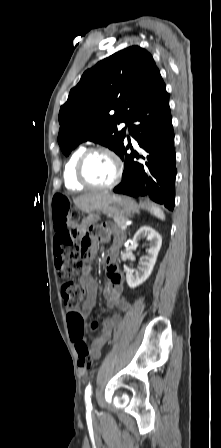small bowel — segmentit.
<instances>
[{
	"label": "small bowel",
	"instance_id": "obj_1",
	"mask_svg": "<svg viewBox=\"0 0 221 448\" xmlns=\"http://www.w3.org/2000/svg\"><path fill=\"white\" fill-rule=\"evenodd\" d=\"M93 221H95V219L93 218L88 219L81 225L77 226L76 230L81 235L85 234L87 231L88 233L87 236L90 239L89 245L91 247L89 256L93 254L94 246L96 243L112 241V244L109 248V252L107 255L108 283L104 290V297L106 300V304L112 310L120 309L122 311H130L132 309V304L123 296L122 275L115 261L119 246L122 242V237L121 235H117L116 237L113 238L110 237L107 234L106 227L104 225L92 226ZM53 227L55 233L57 234L54 219H53ZM80 284L86 288L88 297L80 309L73 310L70 313L73 312L81 317H84L91 313L94 306L95 294L97 291L96 283L94 282L91 276L90 267H87L83 271L80 277ZM120 325H121V318L117 314H114L111 317L106 318L102 321L101 330L89 347V351L92 358L98 359L100 357L101 351L110 340L113 331L117 329ZM83 341L85 342L86 338H83Z\"/></svg>",
	"mask_w": 221,
	"mask_h": 448
}]
</instances>
